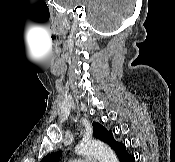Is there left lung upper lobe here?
<instances>
[{
    "instance_id": "5c2ea615",
    "label": "left lung upper lobe",
    "mask_w": 175,
    "mask_h": 162,
    "mask_svg": "<svg viewBox=\"0 0 175 162\" xmlns=\"http://www.w3.org/2000/svg\"><path fill=\"white\" fill-rule=\"evenodd\" d=\"M93 136L105 143H107L110 147H113L116 142L113 138V134L108 131L105 127H103L99 123H93ZM62 156V151L54 152L46 155L40 162H58L60 157Z\"/></svg>"
}]
</instances>
